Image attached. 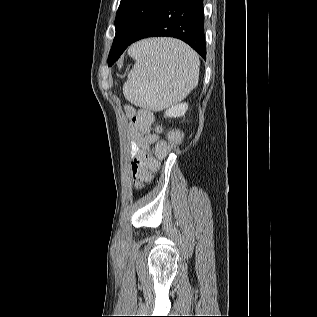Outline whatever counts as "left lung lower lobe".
I'll return each instance as SVG.
<instances>
[{"label":"left lung lower lobe","mask_w":317,"mask_h":317,"mask_svg":"<svg viewBox=\"0 0 317 317\" xmlns=\"http://www.w3.org/2000/svg\"><path fill=\"white\" fill-rule=\"evenodd\" d=\"M203 0H165L126 43H113L111 61H116L132 43L155 36L175 37L189 44L206 60Z\"/></svg>","instance_id":"obj_1"}]
</instances>
